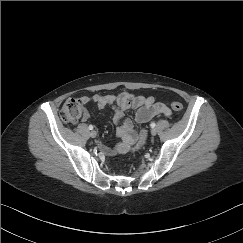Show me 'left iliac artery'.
I'll return each mask as SVG.
<instances>
[{"label":"left iliac artery","mask_w":243,"mask_h":243,"mask_svg":"<svg viewBox=\"0 0 243 243\" xmlns=\"http://www.w3.org/2000/svg\"><path fill=\"white\" fill-rule=\"evenodd\" d=\"M150 126H151V128H154V127L156 126V123H155V122H152V123L150 124Z\"/></svg>","instance_id":"obj_1"}]
</instances>
